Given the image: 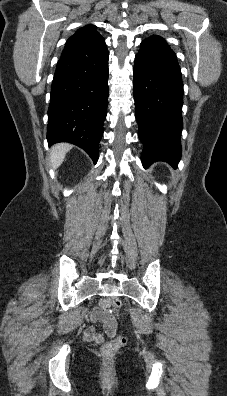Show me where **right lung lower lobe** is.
Listing matches in <instances>:
<instances>
[{
	"mask_svg": "<svg viewBox=\"0 0 227 396\" xmlns=\"http://www.w3.org/2000/svg\"><path fill=\"white\" fill-rule=\"evenodd\" d=\"M108 59L104 39L64 49L56 66L48 108V143L77 145L94 163L98 160L108 104Z\"/></svg>",
	"mask_w": 227,
	"mask_h": 396,
	"instance_id": "1",
	"label": "right lung lower lobe"
}]
</instances>
